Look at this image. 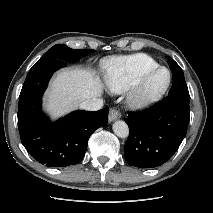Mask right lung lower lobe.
<instances>
[{"label": "right lung lower lobe", "mask_w": 213, "mask_h": 213, "mask_svg": "<svg viewBox=\"0 0 213 213\" xmlns=\"http://www.w3.org/2000/svg\"><path fill=\"white\" fill-rule=\"evenodd\" d=\"M61 60L34 65L23 84L18 107L22 144L38 162L50 167L78 164L84 157L90 135L107 125L108 108L75 111L51 123L41 110L42 95L52 74L65 67Z\"/></svg>", "instance_id": "1"}]
</instances>
